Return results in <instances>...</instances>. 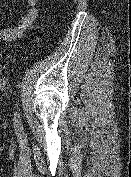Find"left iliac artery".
Returning a JSON list of instances; mask_svg holds the SVG:
<instances>
[{
	"mask_svg": "<svg viewBox=\"0 0 131 177\" xmlns=\"http://www.w3.org/2000/svg\"><path fill=\"white\" fill-rule=\"evenodd\" d=\"M15 123L20 124V115L18 112H15Z\"/></svg>",
	"mask_w": 131,
	"mask_h": 177,
	"instance_id": "44dca946",
	"label": "left iliac artery"
}]
</instances>
